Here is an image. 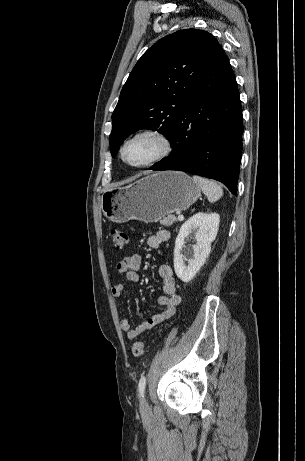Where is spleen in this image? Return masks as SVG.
<instances>
[{
	"instance_id": "3e777b00",
	"label": "spleen",
	"mask_w": 305,
	"mask_h": 461,
	"mask_svg": "<svg viewBox=\"0 0 305 461\" xmlns=\"http://www.w3.org/2000/svg\"><path fill=\"white\" fill-rule=\"evenodd\" d=\"M193 181L200 186L209 202H216L223 196V190L216 182L200 176H193Z\"/></svg>"
}]
</instances>
